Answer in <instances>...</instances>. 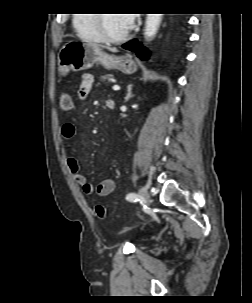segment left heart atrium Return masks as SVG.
I'll list each match as a JSON object with an SVG mask.
<instances>
[{
  "mask_svg": "<svg viewBox=\"0 0 252 303\" xmlns=\"http://www.w3.org/2000/svg\"><path fill=\"white\" fill-rule=\"evenodd\" d=\"M124 15V19H125V23L127 25L128 28L132 27L135 23V18L136 15L135 14H123Z\"/></svg>",
  "mask_w": 252,
  "mask_h": 303,
  "instance_id": "39dd6f15",
  "label": "left heart atrium"
}]
</instances>
